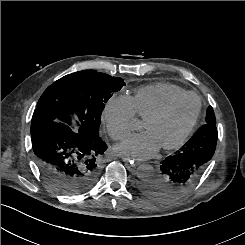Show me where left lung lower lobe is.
Wrapping results in <instances>:
<instances>
[{
  "mask_svg": "<svg viewBox=\"0 0 245 245\" xmlns=\"http://www.w3.org/2000/svg\"><path fill=\"white\" fill-rule=\"evenodd\" d=\"M217 138L216 125H203L180 150L161 161L159 175L144 183L142 191L156 201L172 200L184 193L207 167Z\"/></svg>",
  "mask_w": 245,
  "mask_h": 245,
  "instance_id": "0a47b994",
  "label": "left lung lower lobe"
}]
</instances>
